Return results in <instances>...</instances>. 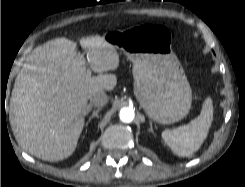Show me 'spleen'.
<instances>
[{"instance_id": "spleen-1", "label": "spleen", "mask_w": 245, "mask_h": 187, "mask_svg": "<svg viewBox=\"0 0 245 187\" xmlns=\"http://www.w3.org/2000/svg\"><path fill=\"white\" fill-rule=\"evenodd\" d=\"M213 121L212 99L207 97L200 115L187 125L172 130H164L162 138L178 156L188 157L198 151L206 139Z\"/></svg>"}]
</instances>
